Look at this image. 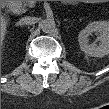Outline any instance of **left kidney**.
<instances>
[{
	"instance_id": "left-kidney-1",
	"label": "left kidney",
	"mask_w": 109,
	"mask_h": 109,
	"mask_svg": "<svg viewBox=\"0 0 109 109\" xmlns=\"http://www.w3.org/2000/svg\"><path fill=\"white\" fill-rule=\"evenodd\" d=\"M92 33L98 34L99 46L88 44V36ZM78 41L80 49L87 55L93 57H104L109 54V24L105 21H94L89 23L79 32Z\"/></svg>"
}]
</instances>
